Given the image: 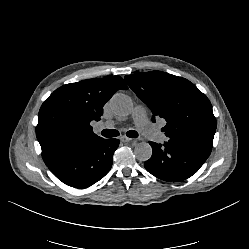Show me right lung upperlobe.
Wrapping results in <instances>:
<instances>
[{"label": "right lung upper lobe", "instance_id": "obj_1", "mask_svg": "<svg viewBox=\"0 0 249 249\" xmlns=\"http://www.w3.org/2000/svg\"><path fill=\"white\" fill-rule=\"evenodd\" d=\"M128 89L120 76H107L70 83L55 90L42 104L36 136L48 166L76 148L102 138L90 125L99 121L104 104L118 90Z\"/></svg>", "mask_w": 249, "mask_h": 249}]
</instances>
